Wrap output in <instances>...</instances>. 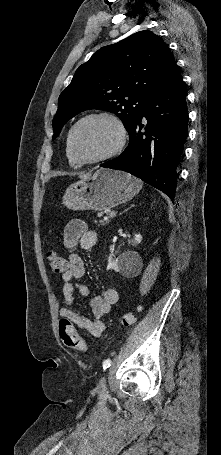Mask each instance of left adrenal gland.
<instances>
[{"instance_id": "a2214340", "label": "left adrenal gland", "mask_w": 221, "mask_h": 455, "mask_svg": "<svg viewBox=\"0 0 221 455\" xmlns=\"http://www.w3.org/2000/svg\"><path fill=\"white\" fill-rule=\"evenodd\" d=\"M134 207V205H131L129 208H127L124 212H126L127 210H129L130 208Z\"/></svg>"}]
</instances>
